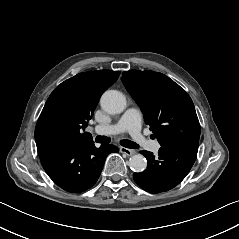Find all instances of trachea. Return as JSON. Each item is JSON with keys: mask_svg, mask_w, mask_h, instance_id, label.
<instances>
[{"mask_svg": "<svg viewBox=\"0 0 239 239\" xmlns=\"http://www.w3.org/2000/svg\"><path fill=\"white\" fill-rule=\"evenodd\" d=\"M95 141L97 143H103V144H106V143H109L110 142V138L106 137V136H101V135H98L96 138H95ZM120 144L123 146V147H126V148H131V149H137L139 148V144L135 143V142H132L130 140H127V139H124V140H121L120 141Z\"/></svg>", "mask_w": 239, "mask_h": 239, "instance_id": "1", "label": "trachea"}]
</instances>
